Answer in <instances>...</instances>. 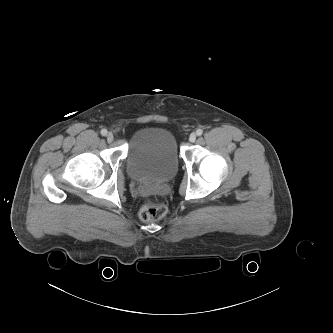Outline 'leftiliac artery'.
<instances>
[{
	"label": "left iliac artery",
	"mask_w": 333,
	"mask_h": 333,
	"mask_svg": "<svg viewBox=\"0 0 333 333\" xmlns=\"http://www.w3.org/2000/svg\"><path fill=\"white\" fill-rule=\"evenodd\" d=\"M196 134H197L198 136L202 135V134H203V130L200 129V128L197 129Z\"/></svg>",
	"instance_id": "44dca946"
}]
</instances>
